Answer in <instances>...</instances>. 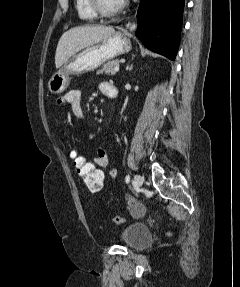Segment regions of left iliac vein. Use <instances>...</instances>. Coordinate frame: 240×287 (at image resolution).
<instances>
[{"instance_id": "obj_1", "label": "left iliac vein", "mask_w": 240, "mask_h": 287, "mask_svg": "<svg viewBox=\"0 0 240 287\" xmlns=\"http://www.w3.org/2000/svg\"><path fill=\"white\" fill-rule=\"evenodd\" d=\"M134 184L136 188L139 189L143 184V178L140 175L136 174L134 176Z\"/></svg>"}]
</instances>
